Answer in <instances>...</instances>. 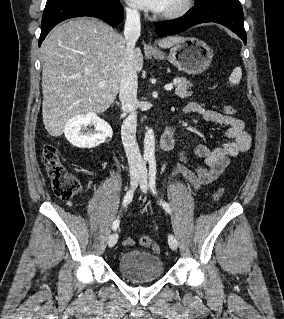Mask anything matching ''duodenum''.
<instances>
[{
	"label": "duodenum",
	"mask_w": 284,
	"mask_h": 319,
	"mask_svg": "<svg viewBox=\"0 0 284 319\" xmlns=\"http://www.w3.org/2000/svg\"><path fill=\"white\" fill-rule=\"evenodd\" d=\"M175 129L169 128L164 131L160 137V147L163 150H170L174 146Z\"/></svg>",
	"instance_id": "1"
}]
</instances>
